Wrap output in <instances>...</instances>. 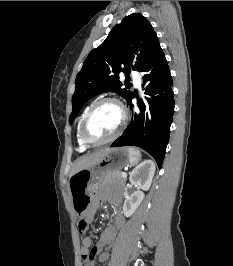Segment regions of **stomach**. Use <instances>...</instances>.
<instances>
[{
    "instance_id": "0dacf381",
    "label": "stomach",
    "mask_w": 233,
    "mask_h": 266,
    "mask_svg": "<svg viewBox=\"0 0 233 266\" xmlns=\"http://www.w3.org/2000/svg\"><path fill=\"white\" fill-rule=\"evenodd\" d=\"M131 164L133 162L126 148H113L97 164L73 174L69 179V189L76 218L80 220L84 216L106 173L121 171Z\"/></svg>"
}]
</instances>
